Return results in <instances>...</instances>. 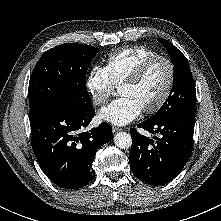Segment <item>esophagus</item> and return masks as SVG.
<instances>
[{"mask_svg": "<svg viewBox=\"0 0 221 221\" xmlns=\"http://www.w3.org/2000/svg\"><path fill=\"white\" fill-rule=\"evenodd\" d=\"M112 130L114 133L121 131L122 129L120 127L117 126H112Z\"/></svg>", "mask_w": 221, "mask_h": 221, "instance_id": "obj_1", "label": "esophagus"}]
</instances>
